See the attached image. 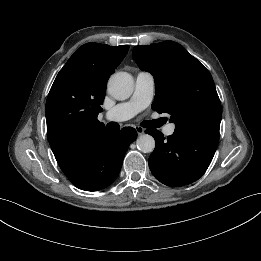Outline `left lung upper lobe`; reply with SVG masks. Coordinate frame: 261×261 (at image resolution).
Segmentation results:
<instances>
[{
  "label": "left lung upper lobe",
  "mask_w": 261,
  "mask_h": 261,
  "mask_svg": "<svg viewBox=\"0 0 261 261\" xmlns=\"http://www.w3.org/2000/svg\"><path fill=\"white\" fill-rule=\"evenodd\" d=\"M132 54L139 68L154 76L152 108L170 115L175 132L219 138L221 103L200 61L173 41L136 46Z\"/></svg>",
  "instance_id": "obj_1"
}]
</instances>
